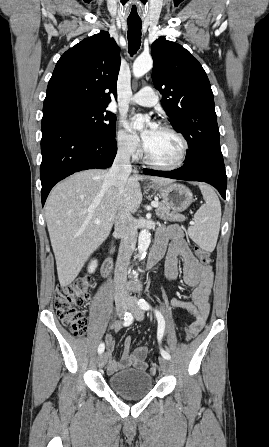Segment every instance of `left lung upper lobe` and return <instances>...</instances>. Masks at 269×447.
I'll return each mask as SVG.
<instances>
[{"mask_svg":"<svg viewBox=\"0 0 269 447\" xmlns=\"http://www.w3.org/2000/svg\"><path fill=\"white\" fill-rule=\"evenodd\" d=\"M152 80L172 127L188 142L185 165L222 155L214 97L201 64L181 45L157 39L151 46Z\"/></svg>","mask_w":269,"mask_h":447,"instance_id":"5c2ea615","label":"left lung upper lobe"}]
</instances>
